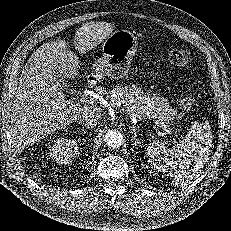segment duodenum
Here are the masks:
<instances>
[{
	"instance_id": "duodenum-1",
	"label": "duodenum",
	"mask_w": 231,
	"mask_h": 231,
	"mask_svg": "<svg viewBox=\"0 0 231 231\" xmlns=\"http://www.w3.org/2000/svg\"><path fill=\"white\" fill-rule=\"evenodd\" d=\"M93 83V79H90L89 81H88V85H91Z\"/></svg>"
}]
</instances>
